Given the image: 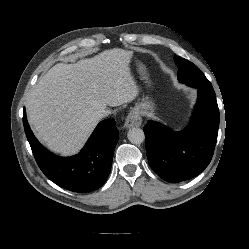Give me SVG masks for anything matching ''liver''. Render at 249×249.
<instances>
[{
    "label": "liver",
    "mask_w": 249,
    "mask_h": 249,
    "mask_svg": "<svg viewBox=\"0 0 249 249\" xmlns=\"http://www.w3.org/2000/svg\"><path fill=\"white\" fill-rule=\"evenodd\" d=\"M132 56L115 48L75 64L54 65L26 100L28 121L38 138L56 153L76 154L99 122L97 112L138 96L129 67Z\"/></svg>",
    "instance_id": "1"
}]
</instances>
